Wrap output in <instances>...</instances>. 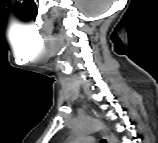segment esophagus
<instances>
[{"label": "esophagus", "mask_w": 158, "mask_h": 143, "mask_svg": "<svg viewBox=\"0 0 158 143\" xmlns=\"http://www.w3.org/2000/svg\"><path fill=\"white\" fill-rule=\"evenodd\" d=\"M92 112L97 118L99 117V114L97 113L96 110L92 109ZM101 135H102V139L104 140V143H108L109 139H108V136L104 130L101 131Z\"/></svg>", "instance_id": "esophagus-1"}]
</instances>
